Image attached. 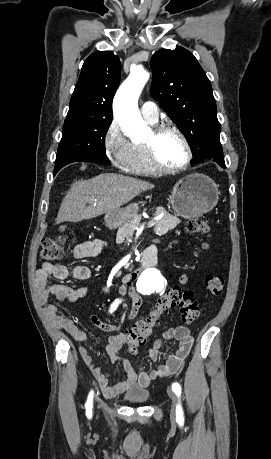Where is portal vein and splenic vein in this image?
I'll list each match as a JSON object with an SVG mask.
<instances>
[{
	"label": "portal vein and splenic vein",
	"instance_id": "obj_1",
	"mask_svg": "<svg viewBox=\"0 0 271 459\" xmlns=\"http://www.w3.org/2000/svg\"><path fill=\"white\" fill-rule=\"evenodd\" d=\"M147 223H148V225H149V226H148L149 228H152V226L155 225L152 221H148Z\"/></svg>",
	"mask_w": 271,
	"mask_h": 459
}]
</instances>
